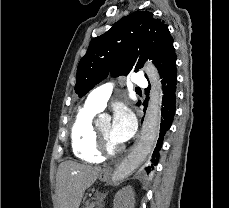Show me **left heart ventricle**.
I'll return each mask as SVG.
<instances>
[{
	"instance_id": "1",
	"label": "left heart ventricle",
	"mask_w": 229,
	"mask_h": 208,
	"mask_svg": "<svg viewBox=\"0 0 229 208\" xmlns=\"http://www.w3.org/2000/svg\"><path fill=\"white\" fill-rule=\"evenodd\" d=\"M97 129H98L99 133L101 135H103L104 137H106L112 144H115V145L119 144L112 137L110 123L103 124V125L99 126Z\"/></svg>"
}]
</instances>
